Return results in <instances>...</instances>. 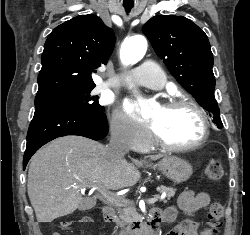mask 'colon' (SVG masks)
<instances>
[{"mask_svg": "<svg viewBox=\"0 0 250 235\" xmlns=\"http://www.w3.org/2000/svg\"><path fill=\"white\" fill-rule=\"evenodd\" d=\"M206 176L212 182H219L223 177V168L218 161H210L206 166ZM223 214V207L219 203H213L207 212V219L210 229L213 234L216 235L219 233L222 221L221 217ZM90 219H85L84 222H90ZM54 235H60L55 233Z\"/></svg>", "mask_w": 250, "mask_h": 235, "instance_id": "colon-1", "label": "colon"}]
</instances>
